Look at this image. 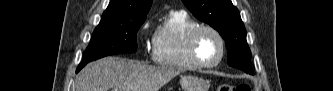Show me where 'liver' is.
<instances>
[{
    "label": "liver",
    "mask_w": 333,
    "mask_h": 91,
    "mask_svg": "<svg viewBox=\"0 0 333 91\" xmlns=\"http://www.w3.org/2000/svg\"><path fill=\"white\" fill-rule=\"evenodd\" d=\"M180 73L133 60L105 57L88 64L76 77L77 91H159Z\"/></svg>",
    "instance_id": "liver-1"
}]
</instances>
